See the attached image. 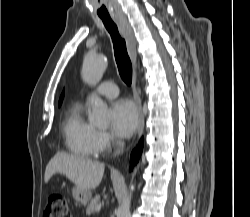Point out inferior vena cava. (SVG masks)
Listing matches in <instances>:
<instances>
[{"label": "inferior vena cava", "mask_w": 250, "mask_h": 217, "mask_svg": "<svg viewBox=\"0 0 250 217\" xmlns=\"http://www.w3.org/2000/svg\"><path fill=\"white\" fill-rule=\"evenodd\" d=\"M119 145H120L121 147H123L124 143H123V142H119ZM118 152H119V151H118Z\"/></svg>", "instance_id": "inferior-vena-cava-1"}]
</instances>
